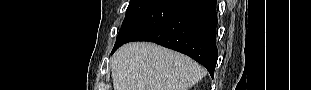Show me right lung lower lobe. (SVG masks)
I'll use <instances>...</instances> for the list:
<instances>
[{"label": "right lung lower lobe", "instance_id": "obj_1", "mask_svg": "<svg viewBox=\"0 0 311 90\" xmlns=\"http://www.w3.org/2000/svg\"><path fill=\"white\" fill-rule=\"evenodd\" d=\"M215 9L216 0H190L166 21L133 41H152L184 53L202 64L213 77L218 57Z\"/></svg>", "mask_w": 311, "mask_h": 90}]
</instances>
